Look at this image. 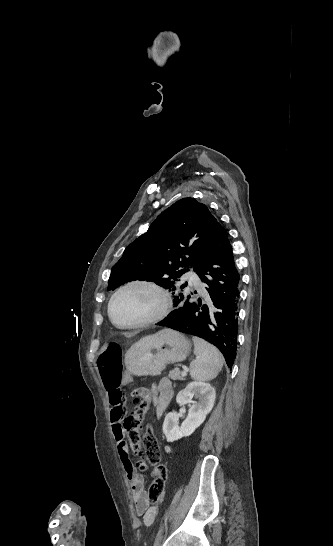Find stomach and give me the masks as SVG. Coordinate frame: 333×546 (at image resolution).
Masks as SVG:
<instances>
[{
    "label": "stomach",
    "mask_w": 333,
    "mask_h": 546,
    "mask_svg": "<svg viewBox=\"0 0 333 546\" xmlns=\"http://www.w3.org/2000/svg\"><path fill=\"white\" fill-rule=\"evenodd\" d=\"M191 351L189 339L171 329L147 335L133 344L125 355L126 369L137 376H157L169 363L186 359Z\"/></svg>",
    "instance_id": "0dacf381"
}]
</instances>
